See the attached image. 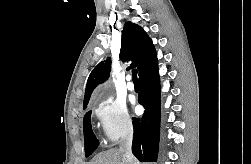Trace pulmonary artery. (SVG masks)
<instances>
[{
    "label": "pulmonary artery",
    "mask_w": 251,
    "mask_h": 164,
    "mask_svg": "<svg viewBox=\"0 0 251 164\" xmlns=\"http://www.w3.org/2000/svg\"><path fill=\"white\" fill-rule=\"evenodd\" d=\"M127 88L130 91H134V89H135L134 83L130 79L127 82Z\"/></svg>",
    "instance_id": "e3ab8cb5"
}]
</instances>
